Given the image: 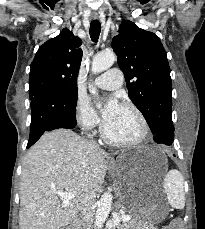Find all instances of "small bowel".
<instances>
[{"mask_svg":"<svg viewBox=\"0 0 205 229\" xmlns=\"http://www.w3.org/2000/svg\"><path fill=\"white\" fill-rule=\"evenodd\" d=\"M164 229H181V223L178 221L172 222L170 225H168Z\"/></svg>","mask_w":205,"mask_h":229,"instance_id":"obj_1","label":"small bowel"}]
</instances>
